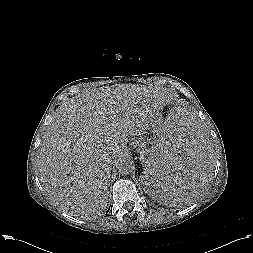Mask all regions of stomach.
<instances>
[{
    "label": "stomach",
    "instance_id": "stomach-1",
    "mask_svg": "<svg viewBox=\"0 0 253 253\" xmlns=\"http://www.w3.org/2000/svg\"><path fill=\"white\" fill-rule=\"evenodd\" d=\"M163 118L155 115L144 127L142 132L135 138L133 147L140 153L149 155L155 139L163 132ZM146 159V158H145ZM145 161V160H144Z\"/></svg>",
    "mask_w": 253,
    "mask_h": 253
}]
</instances>
